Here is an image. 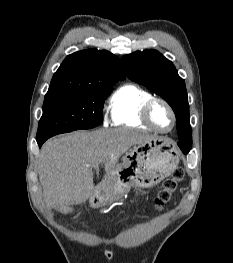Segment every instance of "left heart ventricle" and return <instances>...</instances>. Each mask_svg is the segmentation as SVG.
Returning a JSON list of instances; mask_svg holds the SVG:
<instances>
[{
	"label": "left heart ventricle",
	"instance_id": "left-heart-ventricle-1",
	"mask_svg": "<svg viewBox=\"0 0 233 263\" xmlns=\"http://www.w3.org/2000/svg\"><path fill=\"white\" fill-rule=\"evenodd\" d=\"M151 116L157 127L163 130L170 128L172 118L168 109L161 103H156L151 111Z\"/></svg>",
	"mask_w": 233,
	"mask_h": 263
}]
</instances>
